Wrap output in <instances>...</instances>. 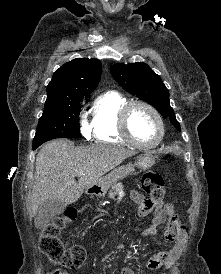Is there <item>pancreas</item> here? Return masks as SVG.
I'll use <instances>...</instances> for the list:
<instances>
[{"mask_svg": "<svg viewBox=\"0 0 221 274\" xmlns=\"http://www.w3.org/2000/svg\"><path fill=\"white\" fill-rule=\"evenodd\" d=\"M123 189V185L122 183H116L113 187H112V191L109 192L108 197L114 199L116 194H118L119 192H121ZM104 196V195H103Z\"/></svg>", "mask_w": 221, "mask_h": 274, "instance_id": "obj_1", "label": "pancreas"}]
</instances>
